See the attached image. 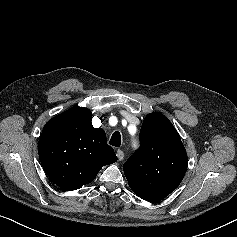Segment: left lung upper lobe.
Returning <instances> with one entry per match:
<instances>
[{"label": "left lung upper lobe", "instance_id": "5c2ea615", "mask_svg": "<svg viewBox=\"0 0 237 237\" xmlns=\"http://www.w3.org/2000/svg\"><path fill=\"white\" fill-rule=\"evenodd\" d=\"M141 146L123 165L132 191L150 201L164 199L181 183L187 153L172 123L159 112L148 114L140 131Z\"/></svg>", "mask_w": 237, "mask_h": 237}]
</instances>
